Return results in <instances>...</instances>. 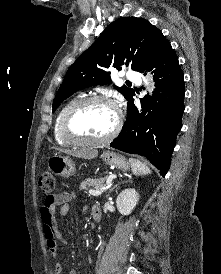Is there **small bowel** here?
<instances>
[{"instance_id":"1","label":"small bowel","mask_w":221,"mask_h":274,"mask_svg":"<svg viewBox=\"0 0 221 274\" xmlns=\"http://www.w3.org/2000/svg\"><path fill=\"white\" fill-rule=\"evenodd\" d=\"M73 195L69 193H60L57 195L47 196L40 209V217L42 222L43 233L46 240V245L50 253L57 257L60 244H66V239L62 236L58 229L57 212L64 216L69 210L68 202ZM62 265L59 261L55 263L54 273L61 274ZM67 274H78L75 269H71Z\"/></svg>"}]
</instances>
